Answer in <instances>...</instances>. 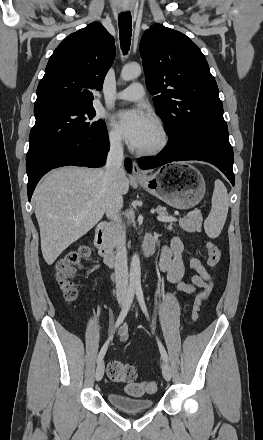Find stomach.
Wrapping results in <instances>:
<instances>
[{
    "instance_id": "obj_1",
    "label": "stomach",
    "mask_w": 263,
    "mask_h": 440,
    "mask_svg": "<svg viewBox=\"0 0 263 440\" xmlns=\"http://www.w3.org/2000/svg\"><path fill=\"white\" fill-rule=\"evenodd\" d=\"M170 168L175 170L177 168V172L168 173L167 168L139 180L140 185L151 195L176 209L196 206L206 190L201 173L192 166L187 169H181L179 166Z\"/></svg>"
}]
</instances>
